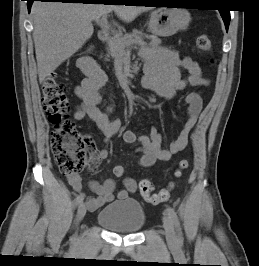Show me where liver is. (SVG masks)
I'll list each match as a JSON object with an SVG mask.
<instances>
[{"mask_svg":"<svg viewBox=\"0 0 259 266\" xmlns=\"http://www.w3.org/2000/svg\"><path fill=\"white\" fill-rule=\"evenodd\" d=\"M147 10L145 6L34 2L31 15L39 82L91 38L94 19L114 11L121 20L131 22Z\"/></svg>","mask_w":259,"mask_h":266,"instance_id":"obj_1","label":"liver"}]
</instances>
